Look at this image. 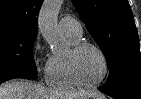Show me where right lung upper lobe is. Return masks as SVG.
<instances>
[{"mask_svg":"<svg viewBox=\"0 0 141 99\" xmlns=\"http://www.w3.org/2000/svg\"><path fill=\"white\" fill-rule=\"evenodd\" d=\"M43 0H0V30L37 32V15Z\"/></svg>","mask_w":141,"mask_h":99,"instance_id":"1","label":"right lung upper lobe"}]
</instances>
